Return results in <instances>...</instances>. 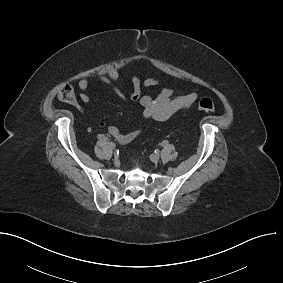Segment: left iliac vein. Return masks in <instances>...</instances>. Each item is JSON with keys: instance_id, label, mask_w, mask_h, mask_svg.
I'll use <instances>...</instances> for the list:
<instances>
[{"instance_id": "obj_1", "label": "left iliac vein", "mask_w": 283, "mask_h": 283, "mask_svg": "<svg viewBox=\"0 0 283 283\" xmlns=\"http://www.w3.org/2000/svg\"><path fill=\"white\" fill-rule=\"evenodd\" d=\"M150 159L152 162L157 163L160 160L159 154H151Z\"/></svg>"}]
</instances>
